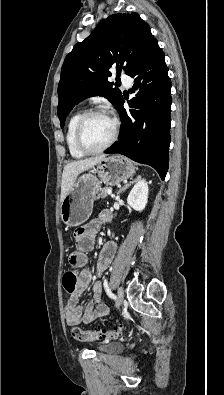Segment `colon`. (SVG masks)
I'll return each instance as SVG.
<instances>
[{
	"instance_id": "5ec220e1",
	"label": "colon",
	"mask_w": 224,
	"mask_h": 395,
	"mask_svg": "<svg viewBox=\"0 0 224 395\" xmlns=\"http://www.w3.org/2000/svg\"><path fill=\"white\" fill-rule=\"evenodd\" d=\"M63 286L68 293L77 288V276L74 271H67L63 276ZM123 328L116 326L112 329L86 330L79 327L72 329L73 337L81 342L109 340L122 334Z\"/></svg>"
}]
</instances>
